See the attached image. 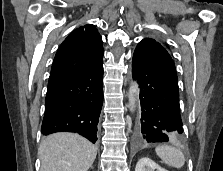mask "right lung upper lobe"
Returning <instances> with one entry per match:
<instances>
[{"label":"right lung upper lobe","instance_id":"obj_1","mask_svg":"<svg viewBox=\"0 0 223 171\" xmlns=\"http://www.w3.org/2000/svg\"><path fill=\"white\" fill-rule=\"evenodd\" d=\"M102 38L94 25L75 29L59 47L48 84L84 74L103 62Z\"/></svg>","mask_w":223,"mask_h":171}]
</instances>
